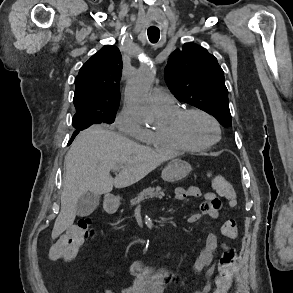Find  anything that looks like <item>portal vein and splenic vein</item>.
Instances as JSON below:
<instances>
[{
  "instance_id": "portal-vein-and-splenic-vein-1",
  "label": "portal vein and splenic vein",
  "mask_w": 293,
  "mask_h": 293,
  "mask_svg": "<svg viewBox=\"0 0 293 293\" xmlns=\"http://www.w3.org/2000/svg\"><path fill=\"white\" fill-rule=\"evenodd\" d=\"M120 169H121L120 166H116V167L113 168L114 171H119Z\"/></svg>"
}]
</instances>
